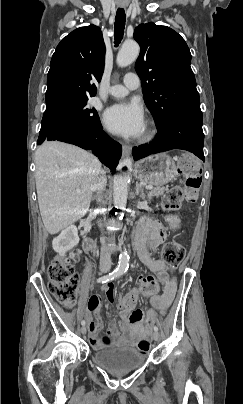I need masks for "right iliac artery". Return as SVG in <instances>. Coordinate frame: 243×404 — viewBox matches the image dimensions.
Listing matches in <instances>:
<instances>
[{
	"label": "right iliac artery",
	"instance_id": "right-iliac-artery-1",
	"mask_svg": "<svg viewBox=\"0 0 243 404\" xmlns=\"http://www.w3.org/2000/svg\"><path fill=\"white\" fill-rule=\"evenodd\" d=\"M118 275H119V272L114 271V272H112V273H110V274H108V275H105V276H103V277L98 278V279H97V282H98V283H106V282H108V281H110V280H113L114 278L118 277ZM81 324L84 326V325H85V321L82 320V321H81Z\"/></svg>",
	"mask_w": 243,
	"mask_h": 404
}]
</instances>
